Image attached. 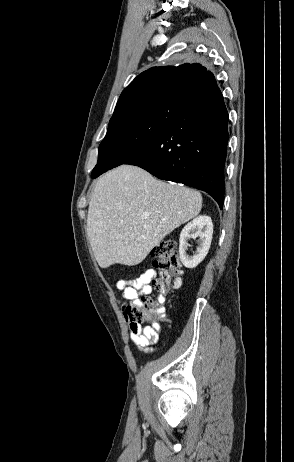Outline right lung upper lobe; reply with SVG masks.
<instances>
[{
	"label": "right lung upper lobe",
	"instance_id": "cb5924a9",
	"mask_svg": "<svg viewBox=\"0 0 294 462\" xmlns=\"http://www.w3.org/2000/svg\"><path fill=\"white\" fill-rule=\"evenodd\" d=\"M216 83L214 75L201 64L153 67L139 74L121 93L115 112L137 102L169 93L197 94Z\"/></svg>",
	"mask_w": 294,
	"mask_h": 462
}]
</instances>
